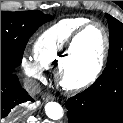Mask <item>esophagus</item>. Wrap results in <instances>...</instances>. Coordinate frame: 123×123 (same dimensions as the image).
I'll return each mask as SVG.
<instances>
[{
    "label": "esophagus",
    "mask_w": 123,
    "mask_h": 123,
    "mask_svg": "<svg viewBox=\"0 0 123 123\" xmlns=\"http://www.w3.org/2000/svg\"><path fill=\"white\" fill-rule=\"evenodd\" d=\"M54 98H55V96H53V95H51V94H45V95L43 96V101H44V102H48V101H50V100H54Z\"/></svg>",
    "instance_id": "1"
}]
</instances>
